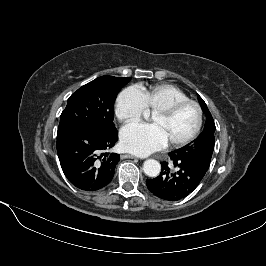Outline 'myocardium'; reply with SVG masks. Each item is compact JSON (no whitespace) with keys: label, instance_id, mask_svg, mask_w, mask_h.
Masks as SVG:
<instances>
[{"label":"myocardium","instance_id":"1","mask_svg":"<svg viewBox=\"0 0 266 266\" xmlns=\"http://www.w3.org/2000/svg\"><path fill=\"white\" fill-rule=\"evenodd\" d=\"M191 105L196 109L197 112V122L196 125L193 129V131L186 136L183 139L177 140V141H172L169 142V145L172 147H182L193 141L199 134L202 124H203V110L200 106V104L196 101L193 100H185V101H180L173 103L165 108H162L160 110H157L153 113V115H158V116H163V117H168L176 113L178 110L181 108Z\"/></svg>","mask_w":266,"mask_h":266}]
</instances>
